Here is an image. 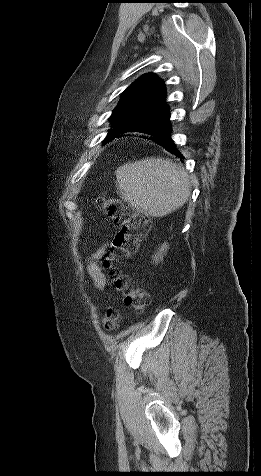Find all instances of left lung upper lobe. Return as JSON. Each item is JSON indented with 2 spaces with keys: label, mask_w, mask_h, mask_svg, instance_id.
<instances>
[{
  "label": "left lung upper lobe",
  "mask_w": 261,
  "mask_h": 476,
  "mask_svg": "<svg viewBox=\"0 0 261 476\" xmlns=\"http://www.w3.org/2000/svg\"><path fill=\"white\" fill-rule=\"evenodd\" d=\"M165 91L164 82L155 74L143 75L123 92L121 101L109 118L111 126L117 129L133 121L160 117L168 112Z\"/></svg>",
  "instance_id": "1"
}]
</instances>
